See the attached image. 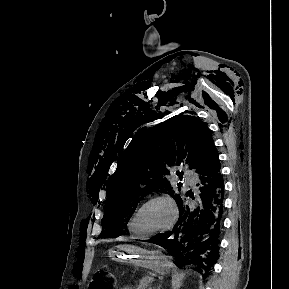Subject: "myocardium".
Listing matches in <instances>:
<instances>
[{
  "label": "myocardium",
  "instance_id": "1",
  "mask_svg": "<svg viewBox=\"0 0 289 289\" xmlns=\"http://www.w3.org/2000/svg\"><path fill=\"white\" fill-rule=\"evenodd\" d=\"M154 201H163L169 206V208L171 210V219H170L169 223L164 228L153 231V232L145 233V232L138 229L137 218H138L140 212L143 210V208ZM177 217H178V209H177V206H176L174 200L168 195L156 194V195L150 196L149 198L144 200L138 206V208L135 210V212L132 215L131 225H132L133 230L137 234H139L140 236L152 237V236L160 235V234H163V233L170 231L172 229V227L174 226V224L177 220Z\"/></svg>",
  "mask_w": 289,
  "mask_h": 289
}]
</instances>
